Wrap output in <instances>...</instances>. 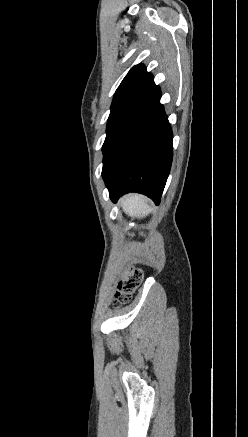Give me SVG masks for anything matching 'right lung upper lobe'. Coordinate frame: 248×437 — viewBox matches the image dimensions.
<instances>
[{
    "label": "right lung upper lobe",
    "mask_w": 248,
    "mask_h": 437,
    "mask_svg": "<svg viewBox=\"0 0 248 437\" xmlns=\"http://www.w3.org/2000/svg\"><path fill=\"white\" fill-rule=\"evenodd\" d=\"M153 82V76L147 72L143 64L135 65L121 82L113 100L134 93L140 95Z\"/></svg>",
    "instance_id": "1"
}]
</instances>
